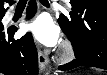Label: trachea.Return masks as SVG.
Here are the masks:
<instances>
[{
    "label": "trachea",
    "instance_id": "3493384b",
    "mask_svg": "<svg viewBox=\"0 0 107 75\" xmlns=\"http://www.w3.org/2000/svg\"><path fill=\"white\" fill-rule=\"evenodd\" d=\"M27 0H19L18 5L26 4ZM41 4L49 7V3L47 0H40Z\"/></svg>",
    "mask_w": 107,
    "mask_h": 75
}]
</instances>
